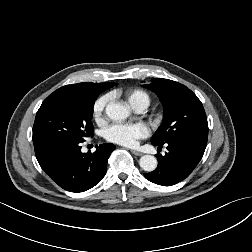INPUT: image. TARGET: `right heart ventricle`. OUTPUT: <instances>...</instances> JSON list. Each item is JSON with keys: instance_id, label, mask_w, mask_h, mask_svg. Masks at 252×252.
<instances>
[{"instance_id": "right-heart-ventricle-1", "label": "right heart ventricle", "mask_w": 252, "mask_h": 252, "mask_svg": "<svg viewBox=\"0 0 252 252\" xmlns=\"http://www.w3.org/2000/svg\"><path fill=\"white\" fill-rule=\"evenodd\" d=\"M126 98L132 107L138 105H145L146 107L150 104L149 94L141 89H134L126 93Z\"/></svg>"}]
</instances>
